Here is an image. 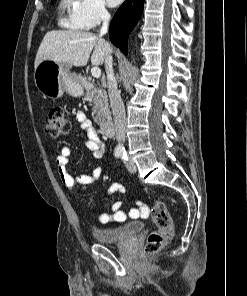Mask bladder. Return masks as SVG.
Wrapping results in <instances>:
<instances>
[{
    "mask_svg": "<svg viewBox=\"0 0 247 296\" xmlns=\"http://www.w3.org/2000/svg\"><path fill=\"white\" fill-rule=\"evenodd\" d=\"M144 227L142 222H129L123 226L109 229L95 228L93 235L98 243L111 244L123 242L138 234Z\"/></svg>",
    "mask_w": 247,
    "mask_h": 296,
    "instance_id": "obj_1",
    "label": "bladder"
}]
</instances>
